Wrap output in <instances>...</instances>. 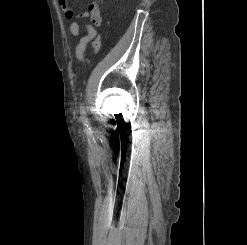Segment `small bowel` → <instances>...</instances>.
I'll return each mask as SVG.
<instances>
[{
  "label": "small bowel",
  "instance_id": "c3829d8e",
  "mask_svg": "<svg viewBox=\"0 0 247 245\" xmlns=\"http://www.w3.org/2000/svg\"><path fill=\"white\" fill-rule=\"evenodd\" d=\"M59 4L64 12L65 17L68 20H73L70 24L71 34L78 36L82 30L86 31V35L83 36L76 45L75 55L80 62H87L88 60L85 57V50L87 45L91 43L95 51L101 47L102 41L97 30V27H99L101 24L99 10L95 6H92L89 10H86L82 14L75 16L73 10L69 7L68 0H59ZM88 17L91 19V24L78 20Z\"/></svg>",
  "mask_w": 247,
  "mask_h": 245
}]
</instances>
